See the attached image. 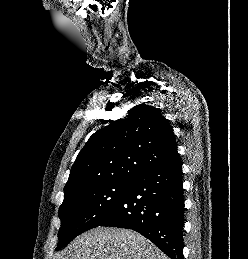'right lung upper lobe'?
I'll return each instance as SVG.
<instances>
[{
    "mask_svg": "<svg viewBox=\"0 0 248 259\" xmlns=\"http://www.w3.org/2000/svg\"><path fill=\"white\" fill-rule=\"evenodd\" d=\"M168 120L160 111L140 104L125 119L99 129L78 154L64 193L106 181H133L144 172L178 159Z\"/></svg>",
    "mask_w": 248,
    "mask_h": 259,
    "instance_id": "cb5924a9",
    "label": "right lung upper lobe"
}]
</instances>
